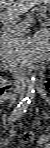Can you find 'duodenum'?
Here are the masks:
<instances>
[{
  "label": "duodenum",
  "instance_id": "obj_1",
  "mask_svg": "<svg viewBox=\"0 0 50 148\" xmlns=\"http://www.w3.org/2000/svg\"><path fill=\"white\" fill-rule=\"evenodd\" d=\"M48 59V55L43 53V54H39L37 56H26L23 59V63L26 64L27 66H29L30 68H34L35 66H37V68H39L43 63H45ZM19 88L22 87L20 81L18 83Z\"/></svg>",
  "mask_w": 50,
  "mask_h": 148
}]
</instances>
